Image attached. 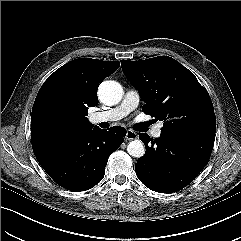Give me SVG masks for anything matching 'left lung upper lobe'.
<instances>
[{
  "label": "left lung upper lobe",
  "instance_id": "5c2ea615",
  "mask_svg": "<svg viewBox=\"0 0 241 241\" xmlns=\"http://www.w3.org/2000/svg\"><path fill=\"white\" fill-rule=\"evenodd\" d=\"M121 66L145 101L143 111L164 121L161 131L214 142L213 104L190 70L168 56L121 60Z\"/></svg>",
  "mask_w": 241,
  "mask_h": 241
}]
</instances>
